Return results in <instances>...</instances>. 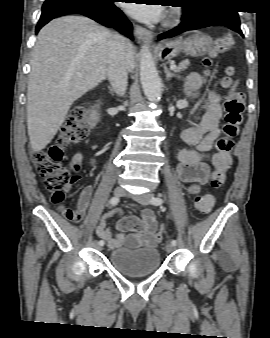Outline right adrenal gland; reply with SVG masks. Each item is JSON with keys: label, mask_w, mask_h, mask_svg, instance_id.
Segmentation results:
<instances>
[{"label": "right adrenal gland", "mask_w": 270, "mask_h": 338, "mask_svg": "<svg viewBox=\"0 0 270 338\" xmlns=\"http://www.w3.org/2000/svg\"><path fill=\"white\" fill-rule=\"evenodd\" d=\"M108 89L110 90L111 95L114 96V89L111 86H108Z\"/></svg>", "instance_id": "2a0ac1e0"}]
</instances>
